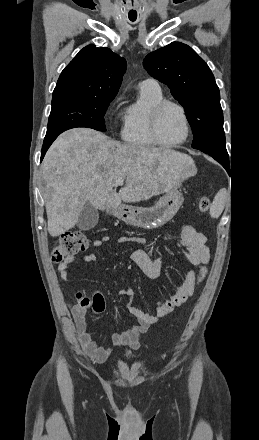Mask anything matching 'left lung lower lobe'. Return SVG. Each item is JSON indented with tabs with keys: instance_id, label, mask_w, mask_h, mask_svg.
<instances>
[{
	"instance_id": "0a47b994",
	"label": "left lung lower lobe",
	"mask_w": 259,
	"mask_h": 440,
	"mask_svg": "<svg viewBox=\"0 0 259 440\" xmlns=\"http://www.w3.org/2000/svg\"><path fill=\"white\" fill-rule=\"evenodd\" d=\"M217 160L227 171L229 170V156L225 148H200L198 149Z\"/></svg>"
}]
</instances>
